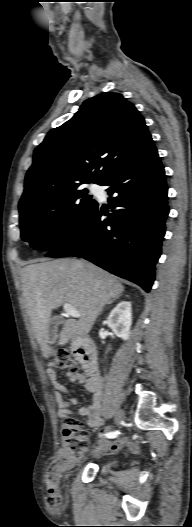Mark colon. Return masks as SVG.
I'll return each mask as SVG.
<instances>
[{
    "mask_svg": "<svg viewBox=\"0 0 192 527\" xmlns=\"http://www.w3.org/2000/svg\"><path fill=\"white\" fill-rule=\"evenodd\" d=\"M54 364L70 373H79L80 364L69 352L60 350L54 356ZM65 453L70 458H80L88 448L89 432L73 417L66 418L61 427Z\"/></svg>",
    "mask_w": 192,
    "mask_h": 527,
    "instance_id": "colon-1",
    "label": "colon"
}]
</instances>
